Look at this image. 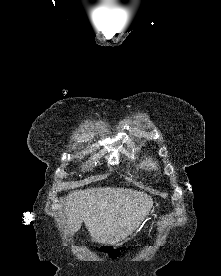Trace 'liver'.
<instances>
[{
	"label": "liver",
	"mask_w": 221,
	"mask_h": 276,
	"mask_svg": "<svg viewBox=\"0 0 221 276\" xmlns=\"http://www.w3.org/2000/svg\"><path fill=\"white\" fill-rule=\"evenodd\" d=\"M152 205V197L141 191L90 188L70 192L64 213L72 233L84 222L93 241L116 244L139 227Z\"/></svg>",
	"instance_id": "1"
}]
</instances>
